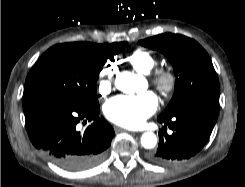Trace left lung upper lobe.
<instances>
[{
    "label": "left lung upper lobe",
    "mask_w": 245,
    "mask_h": 187,
    "mask_svg": "<svg viewBox=\"0 0 245 187\" xmlns=\"http://www.w3.org/2000/svg\"><path fill=\"white\" fill-rule=\"evenodd\" d=\"M142 46L163 53L176 76L174 95L161 117L188 107L219 101V81L207 52L193 39L165 33L139 41Z\"/></svg>",
    "instance_id": "5c2ea615"
}]
</instances>
